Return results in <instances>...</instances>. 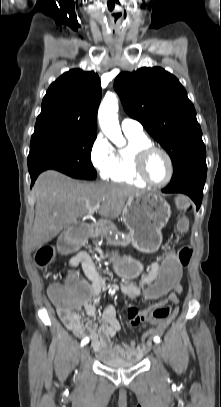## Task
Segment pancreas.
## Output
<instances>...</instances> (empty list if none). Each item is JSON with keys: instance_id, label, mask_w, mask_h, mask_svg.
<instances>
[{"instance_id": "obj_1", "label": "pancreas", "mask_w": 221, "mask_h": 407, "mask_svg": "<svg viewBox=\"0 0 221 407\" xmlns=\"http://www.w3.org/2000/svg\"><path fill=\"white\" fill-rule=\"evenodd\" d=\"M118 235V239H115L114 237L110 238L108 240V243L111 245H120V246H127L130 244L131 242V238L129 235L127 234H123V233H116Z\"/></svg>"}]
</instances>
